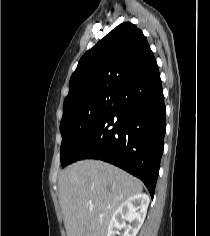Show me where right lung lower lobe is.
<instances>
[{
  "instance_id": "1",
  "label": "right lung lower lobe",
  "mask_w": 210,
  "mask_h": 236,
  "mask_svg": "<svg viewBox=\"0 0 210 236\" xmlns=\"http://www.w3.org/2000/svg\"><path fill=\"white\" fill-rule=\"evenodd\" d=\"M166 109L158 67L127 83L113 108L68 164L100 159L140 178L154 196L163 153Z\"/></svg>"
}]
</instances>
